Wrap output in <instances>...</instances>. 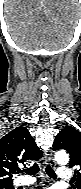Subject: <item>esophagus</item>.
Segmentation results:
<instances>
[{
	"instance_id": "34e87169",
	"label": "esophagus",
	"mask_w": 81,
	"mask_h": 189,
	"mask_svg": "<svg viewBox=\"0 0 81 189\" xmlns=\"http://www.w3.org/2000/svg\"><path fill=\"white\" fill-rule=\"evenodd\" d=\"M47 162H48V164L51 166V167H55L56 166V164H55V161H54V159H53V157H52V154H47Z\"/></svg>"
}]
</instances>
